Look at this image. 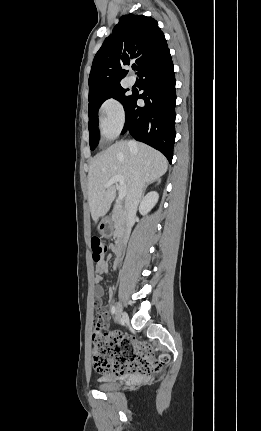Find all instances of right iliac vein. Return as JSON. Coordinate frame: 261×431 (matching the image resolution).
<instances>
[{
  "mask_svg": "<svg viewBox=\"0 0 261 431\" xmlns=\"http://www.w3.org/2000/svg\"><path fill=\"white\" fill-rule=\"evenodd\" d=\"M127 315L123 310L122 304L118 303L116 307V315L115 320L116 322H119L121 319H126Z\"/></svg>",
  "mask_w": 261,
  "mask_h": 431,
  "instance_id": "obj_1",
  "label": "right iliac vein"
}]
</instances>
